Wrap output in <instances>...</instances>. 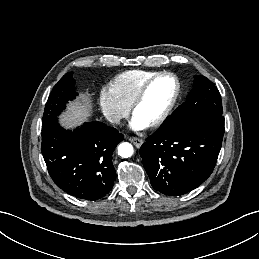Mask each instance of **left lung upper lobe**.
I'll return each instance as SVG.
<instances>
[{
	"instance_id": "obj_1",
	"label": "left lung upper lobe",
	"mask_w": 259,
	"mask_h": 259,
	"mask_svg": "<svg viewBox=\"0 0 259 259\" xmlns=\"http://www.w3.org/2000/svg\"><path fill=\"white\" fill-rule=\"evenodd\" d=\"M205 113L223 114L221 96L217 87L208 78L196 75L194 89L189 93L187 101L175 110L158 131H170L190 118Z\"/></svg>"
}]
</instances>
